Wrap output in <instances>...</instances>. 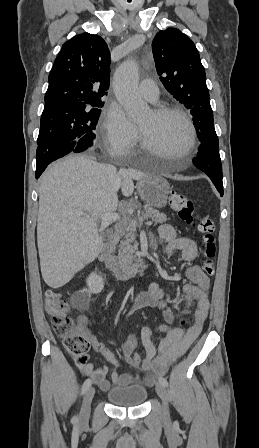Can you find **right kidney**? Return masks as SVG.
Returning <instances> with one entry per match:
<instances>
[{
	"instance_id": "right-kidney-1",
	"label": "right kidney",
	"mask_w": 259,
	"mask_h": 448,
	"mask_svg": "<svg viewBox=\"0 0 259 448\" xmlns=\"http://www.w3.org/2000/svg\"><path fill=\"white\" fill-rule=\"evenodd\" d=\"M88 290H80V292H75L70 298L71 306L77 308V310H87L91 298V294H99L104 288V280L102 276H98L95 272L90 274L89 278L86 280Z\"/></svg>"
}]
</instances>
